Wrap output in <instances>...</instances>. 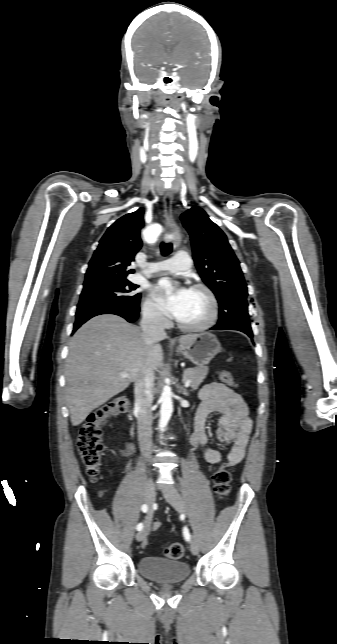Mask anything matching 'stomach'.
I'll list each match as a JSON object with an SVG mask.
<instances>
[{
  "label": "stomach",
  "mask_w": 337,
  "mask_h": 644,
  "mask_svg": "<svg viewBox=\"0 0 337 644\" xmlns=\"http://www.w3.org/2000/svg\"><path fill=\"white\" fill-rule=\"evenodd\" d=\"M178 352L198 367H204L221 352V344L215 335L202 333L196 335L192 343L180 345Z\"/></svg>",
  "instance_id": "stomach-1"
}]
</instances>
